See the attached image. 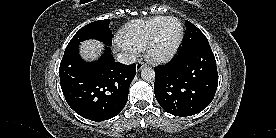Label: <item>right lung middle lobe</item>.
I'll use <instances>...</instances> for the list:
<instances>
[{
	"instance_id": "1",
	"label": "right lung middle lobe",
	"mask_w": 276,
	"mask_h": 138,
	"mask_svg": "<svg viewBox=\"0 0 276 138\" xmlns=\"http://www.w3.org/2000/svg\"><path fill=\"white\" fill-rule=\"evenodd\" d=\"M110 22L109 19L98 20L84 26L74 35L67 47L79 45L80 42L88 39H97L110 46L112 42Z\"/></svg>"
}]
</instances>
